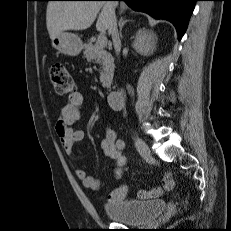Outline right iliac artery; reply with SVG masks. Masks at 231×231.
<instances>
[{"mask_svg":"<svg viewBox=\"0 0 231 231\" xmlns=\"http://www.w3.org/2000/svg\"><path fill=\"white\" fill-rule=\"evenodd\" d=\"M118 146L120 149H124L125 148V143L123 140H119Z\"/></svg>","mask_w":231,"mask_h":231,"instance_id":"right-iliac-artery-1","label":"right iliac artery"}]
</instances>
